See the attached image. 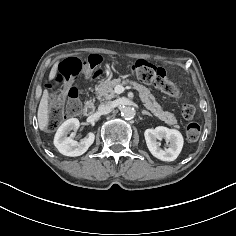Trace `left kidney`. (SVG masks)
<instances>
[{
	"instance_id": "obj_1",
	"label": "left kidney",
	"mask_w": 236,
	"mask_h": 236,
	"mask_svg": "<svg viewBox=\"0 0 236 236\" xmlns=\"http://www.w3.org/2000/svg\"><path fill=\"white\" fill-rule=\"evenodd\" d=\"M147 147L151 154L162 161H174L183 147V136L175 129L158 126L155 129H147L144 132ZM165 139L168 148L162 149L158 142Z\"/></svg>"
}]
</instances>
